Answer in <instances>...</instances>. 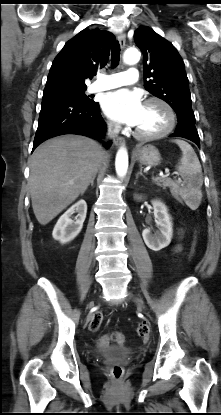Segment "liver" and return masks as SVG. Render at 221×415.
Here are the masks:
<instances>
[{"mask_svg": "<svg viewBox=\"0 0 221 415\" xmlns=\"http://www.w3.org/2000/svg\"><path fill=\"white\" fill-rule=\"evenodd\" d=\"M105 158L101 146L80 135H62L42 143L30 160L32 208L48 224L87 190Z\"/></svg>", "mask_w": 221, "mask_h": 415, "instance_id": "6515ba94", "label": "liver"}]
</instances>
